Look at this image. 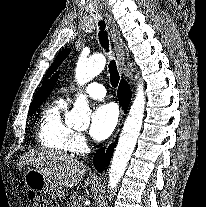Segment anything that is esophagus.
<instances>
[{
	"instance_id": "obj_1",
	"label": "esophagus",
	"mask_w": 206,
	"mask_h": 207,
	"mask_svg": "<svg viewBox=\"0 0 206 207\" xmlns=\"http://www.w3.org/2000/svg\"><path fill=\"white\" fill-rule=\"evenodd\" d=\"M105 17H106V21L110 29V35H111L114 50L116 53V57H117V64H118L119 70L122 73V70L125 66V51H124L123 40L121 38L118 26L116 25L114 19L107 13L105 14ZM122 121H123V116L121 114L116 130L114 131L108 143V146L116 139L119 133L120 127L122 125Z\"/></svg>"
}]
</instances>
